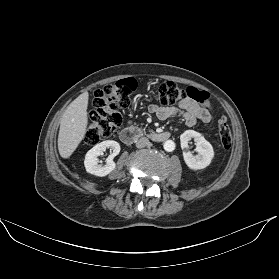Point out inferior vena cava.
<instances>
[{
    "instance_id": "602c4592",
    "label": "inferior vena cava",
    "mask_w": 279,
    "mask_h": 279,
    "mask_svg": "<svg viewBox=\"0 0 279 279\" xmlns=\"http://www.w3.org/2000/svg\"><path fill=\"white\" fill-rule=\"evenodd\" d=\"M149 144V140L146 137H141L137 140L136 142V147L137 148H143Z\"/></svg>"
}]
</instances>
